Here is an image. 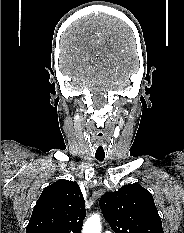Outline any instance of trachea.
Wrapping results in <instances>:
<instances>
[{"mask_svg": "<svg viewBox=\"0 0 184 233\" xmlns=\"http://www.w3.org/2000/svg\"><path fill=\"white\" fill-rule=\"evenodd\" d=\"M95 138H96V144H95V148H94L95 158L98 161H103L105 159V155H106V149H105L104 144L102 143L103 133L98 132L96 134Z\"/></svg>", "mask_w": 184, "mask_h": 233, "instance_id": "obj_1", "label": "trachea"}]
</instances>
